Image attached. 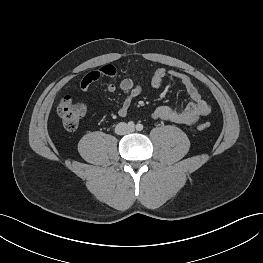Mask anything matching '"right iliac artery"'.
<instances>
[{
  "instance_id": "obj_1",
  "label": "right iliac artery",
  "mask_w": 263,
  "mask_h": 263,
  "mask_svg": "<svg viewBox=\"0 0 263 263\" xmlns=\"http://www.w3.org/2000/svg\"><path fill=\"white\" fill-rule=\"evenodd\" d=\"M134 126H135V124H134L133 121L128 122V127H129L130 129H133Z\"/></svg>"
}]
</instances>
